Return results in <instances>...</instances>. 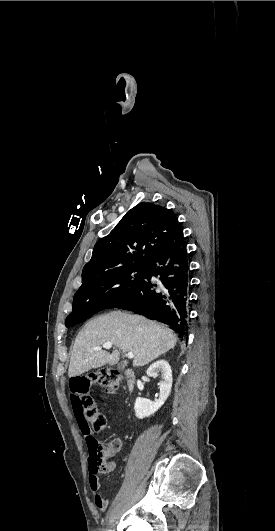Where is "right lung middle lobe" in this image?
Here are the masks:
<instances>
[{"instance_id": "dd1d6c3e", "label": "right lung middle lobe", "mask_w": 275, "mask_h": 531, "mask_svg": "<svg viewBox=\"0 0 275 531\" xmlns=\"http://www.w3.org/2000/svg\"><path fill=\"white\" fill-rule=\"evenodd\" d=\"M146 266H131L105 273L82 285L75 293L73 311L65 326H73L106 308L123 303L143 280Z\"/></svg>"}]
</instances>
